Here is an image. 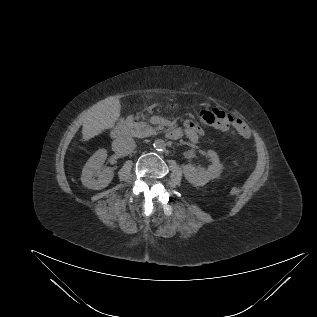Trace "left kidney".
I'll use <instances>...</instances> for the list:
<instances>
[{
    "label": "left kidney",
    "mask_w": 317,
    "mask_h": 317,
    "mask_svg": "<svg viewBox=\"0 0 317 317\" xmlns=\"http://www.w3.org/2000/svg\"><path fill=\"white\" fill-rule=\"evenodd\" d=\"M207 155L211 158V165L207 170L198 171L192 164L183 166V173L189 183L194 186H202L208 183L211 179L218 177L222 171L217 153L213 150H208Z\"/></svg>",
    "instance_id": "left-kidney-1"
}]
</instances>
